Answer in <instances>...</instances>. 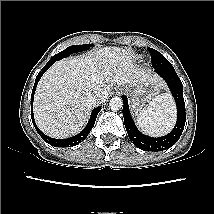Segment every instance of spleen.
Returning <instances> with one entry per match:
<instances>
[{"label": "spleen", "mask_w": 214, "mask_h": 214, "mask_svg": "<svg viewBox=\"0 0 214 214\" xmlns=\"http://www.w3.org/2000/svg\"><path fill=\"white\" fill-rule=\"evenodd\" d=\"M176 119L175 104L168 93L156 96L139 112L136 123L139 129L151 136L168 133Z\"/></svg>", "instance_id": "spleen-1"}]
</instances>
